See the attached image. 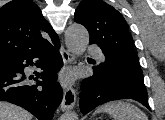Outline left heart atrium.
<instances>
[{
	"instance_id": "1",
	"label": "left heart atrium",
	"mask_w": 165,
	"mask_h": 120,
	"mask_svg": "<svg viewBox=\"0 0 165 120\" xmlns=\"http://www.w3.org/2000/svg\"><path fill=\"white\" fill-rule=\"evenodd\" d=\"M69 78H70L69 75H65L63 79H64V80H68Z\"/></svg>"
}]
</instances>
